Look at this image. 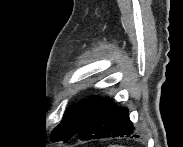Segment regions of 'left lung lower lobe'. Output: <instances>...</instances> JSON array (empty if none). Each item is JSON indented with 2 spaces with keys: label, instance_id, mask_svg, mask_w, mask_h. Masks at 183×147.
I'll return each instance as SVG.
<instances>
[{
  "label": "left lung lower lobe",
  "instance_id": "0a47b994",
  "mask_svg": "<svg viewBox=\"0 0 183 147\" xmlns=\"http://www.w3.org/2000/svg\"><path fill=\"white\" fill-rule=\"evenodd\" d=\"M134 132L128 109L116 106L107 98L100 99L88 114L76 136L81 140L122 137Z\"/></svg>",
  "mask_w": 183,
  "mask_h": 147
}]
</instances>
